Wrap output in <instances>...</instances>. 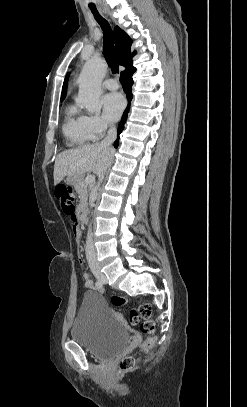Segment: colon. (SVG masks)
Segmentation results:
<instances>
[{"label": "colon", "instance_id": "1", "mask_svg": "<svg viewBox=\"0 0 247 407\" xmlns=\"http://www.w3.org/2000/svg\"><path fill=\"white\" fill-rule=\"evenodd\" d=\"M55 194L60 201L63 212L72 216L75 211L74 193L70 186L59 184L55 188ZM113 305L122 307L128 304V299L121 295H114L111 299ZM129 322L132 325H139L141 331L147 335L145 342L142 345V351L148 352L154 345L156 337L154 336V322L152 320V308L145 303L138 308H133L129 312ZM138 362L135 356L124 357L119 366V372L124 373L133 369Z\"/></svg>", "mask_w": 247, "mask_h": 407}]
</instances>
